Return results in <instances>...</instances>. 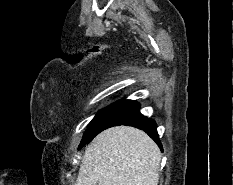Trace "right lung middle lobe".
<instances>
[{"mask_svg":"<svg viewBox=\"0 0 233 185\" xmlns=\"http://www.w3.org/2000/svg\"><path fill=\"white\" fill-rule=\"evenodd\" d=\"M116 102L104 109H102L97 115L94 117V119L91 121V123L88 126L87 131L85 132L82 142L80 144V147H82L85 144H88L98 133L99 129L101 127L102 121L108 116V114L120 103Z\"/></svg>","mask_w":233,"mask_h":185,"instance_id":"obj_1","label":"right lung middle lobe"}]
</instances>
